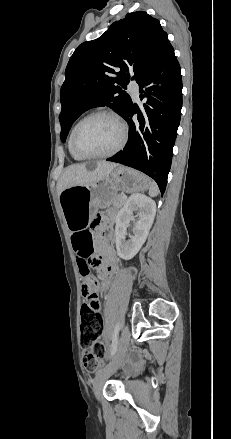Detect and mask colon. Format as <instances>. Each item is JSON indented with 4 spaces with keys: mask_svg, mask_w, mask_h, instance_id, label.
I'll return each mask as SVG.
<instances>
[{
    "mask_svg": "<svg viewBox=\"0 0 231 439\" xmlns=\"http://www.w3.org/2000/svg\"><path fill=\"white\" fill-rule=\"evenodd\" d=\"M108 222L105 216L97 218L96 221ZM95 262L90 260L87 266L82 271L86 274L89 266ZM86 290H93V285L86 283L84 285ZM103 316L84 304L81 308V323H80V343L84 349L83 363L87 371H95L100 366V360L106 355L105 345L99 341L103 331Z\"/></svg>",
    "mask_w": 231,
    "mask_h": 439,
    "instance_id": "1",
    "label": "colon"
}]
</instances>
